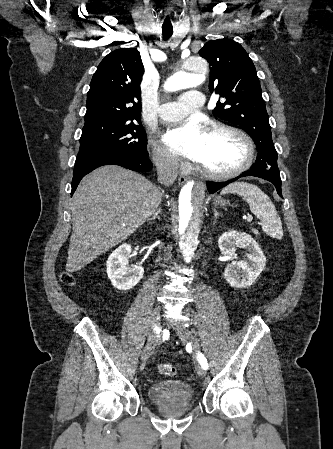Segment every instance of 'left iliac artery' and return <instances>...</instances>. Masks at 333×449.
<instances>
[{"mask_svg":"<svg viewBox=\"0 0 333 449\" xmlns=\"http://www.w3.org/2000/svg\"><path fill=\"white\" fill-rule=\"evenodd\" d=\"M197 358H198V361H199V363L201 364V366H202L205 370H207V369H208V363H207V360H206V358L204 357V355L201 354V353H198Z\"/></svg>","mask_w":333,"mask_h":449,"instance_id":"1","label":"left iliac artery"}]
</instances>
